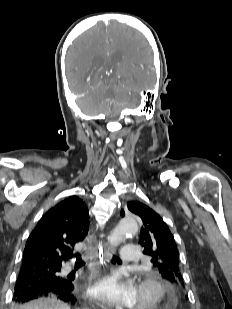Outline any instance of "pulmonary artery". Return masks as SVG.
Wrapping results in <instances>:
<instances>
[{"instance_id": "1", "label": "pulmonary artery", "mask_w": 232, "mask_h": 309, "mask_svg": "<svg viewBox=\"0 0 232 309\" xmlns=\"http://www.w3.org/2000/svg\"><path fill=\"white\" fill-rule=\"evenodd\" d=\"M121 259L127 263H134L139 260L138 248L135 245H128L122 248L120 252ZM72 270L71 267H65L63 273H69Z\"/></svg>"}]
</instances>
